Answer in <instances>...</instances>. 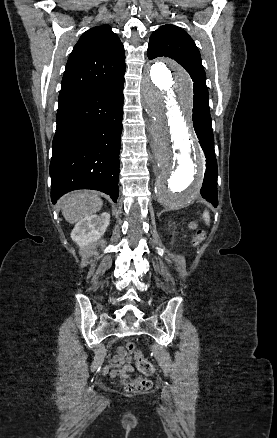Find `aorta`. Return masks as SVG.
Wrapping results in <instances>:
<instances>
[{"mask_svg": "<svg viewBox=\"0 0 277 438\" xmlns=\"http://www.w3.org/2000/svg\"><path fill=\"white\" fill-rule=\"evenodd\" d=\"M140 93L152 119L160 169L155 187L157 198L166 207H183L198 195L205 168L204 155L192 129V81L180 66L160 60L145 70Z\"/></svg>", "mask_w": 277, "mask_h": 438, "instance_id": "obj_1", "label": "aorta"}]
</instances>
